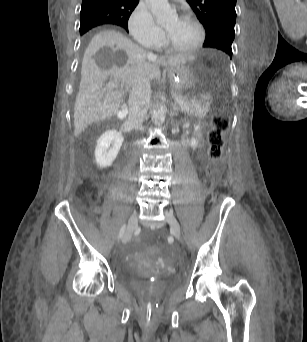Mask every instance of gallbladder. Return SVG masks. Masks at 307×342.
<instances>
[{
    "instance_id": "1",
    "label": "gallbladder",
    "mask_w": 307,
    "mask_h": 342,
    "mask_svg": "<svg viewBox=\"0 0 307 342\" xmlns=\"http://www.w3.org/2000/svg\"><path fill=\"white\" fill-rule=\"evenodd\" d=\"M119 116H120V118H127V116H128V109H127V107H120V109H119Z\"/></svg>"
}]
</instances>
